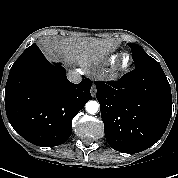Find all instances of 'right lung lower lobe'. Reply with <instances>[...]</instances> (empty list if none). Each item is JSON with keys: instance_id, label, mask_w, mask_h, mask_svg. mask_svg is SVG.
<instances>
[{"instance_id": "98d812e1", "label": "right lung lower lobe", "mask_w": 178, "mask_h": 178, "mask_svg": "<svg viewBox=\"0 0 178 178\" xmlns=\"http://www.w3.org/2000/svg\"><path fill=\"white\" fill-rule=\"evenodd\" d=\"M91 81L71 83L60 63L40 50L21 54L10 69L5 108L14 130L28 142L58 146L71 136L72 119L91 100Z\"/></svg>"}]
</instances>
